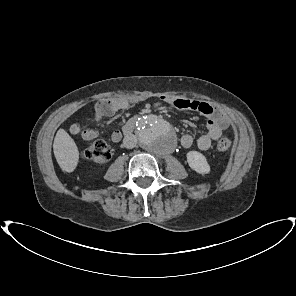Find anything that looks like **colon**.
Listing matches in <instances>:
<instances>
[{
  "instance_id": "obj_1",
  "label": "colon",
  "mask_w": 296,
  "mask_h": 296,
  "mask_svg": "<svg viewBox=\"0 0 296 296\" xmlns=\"http://www.w3.org/2000/svg\"><path fill=\"white\" fill-rule=\"evenodd\" d=\"M231 145L232 140L230 138H222L217 142L216 148L219 151H227ZM82 157L96 163H106L111 158V149L106 141L98 139L83 150Z\"/></svg>"
}]
</instances>
